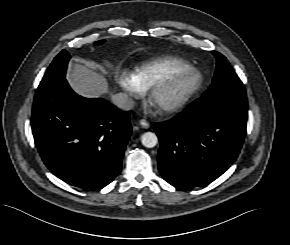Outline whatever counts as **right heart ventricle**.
<instances>
[{"instance_id": "right-heart-ventricle-1", "label": "right heart ventricle", "mask_w": 290, "mask_h": 245, "mask_svg": "<svg viewBox=\"0 0 290 245\" xmlns=\"http://www.w3.org/2000/svg\"><path fill=\"white\" fill-rule=\"evenodd\" d=\"M189 66L190 63L182 58L163 56L149 60L136 67L132 75L142 91H147L166 74Z\"/></svg>"}]
</instances>
